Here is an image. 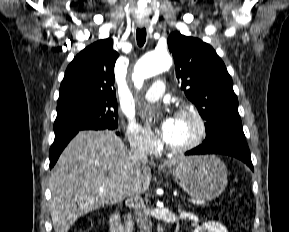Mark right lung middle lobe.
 <instances>
[{
    "label": "right lung middle lobe",
    "instance_id": "1",
    "mask_svg": "<svg viewBox=\"0 0 289 232\" xmlns=\"http://www.w3.org/2000/svg\"><path fill=\"white\" fill-rule=\"evenodd\" d=\"M117 127V102L80 100L57 107L55 135L72 130L116 129Z\"/></svg>",
    "mask_w": 289,
    "mask_h": 232
}]
</instances>
